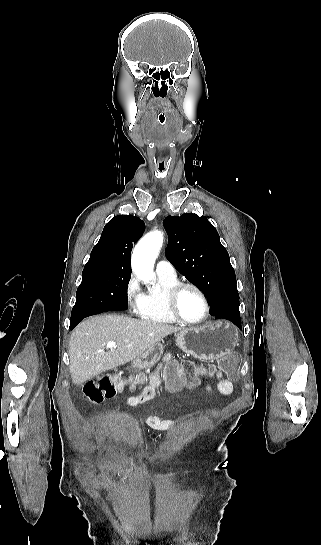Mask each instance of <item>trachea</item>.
Here are the masks:
<instances>
[{"label":"trachea","instance_id":"obj_1","mask_svg":"<svg viewBox=\"0 0 321 545\" xmlns=\"http://www.w3.org/2000/svg\"><path fill=\"white\" fill-rule=\"evenodd\" d=\"M165 117H166L165 114L160 113V114L158 115V123H159V124H162V125L164 126V125L166 124V123H165Z\"/></svg>","mask_w":321,"mask_h":545}]
</instances>
